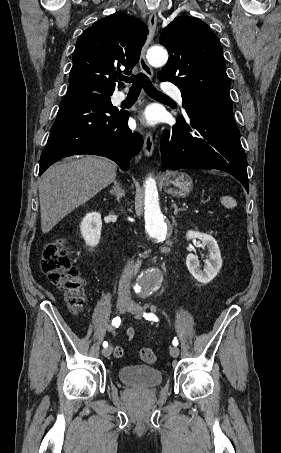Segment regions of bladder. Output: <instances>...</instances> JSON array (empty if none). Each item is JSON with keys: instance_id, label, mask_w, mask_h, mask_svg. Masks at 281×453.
<instances>
[{"instance_id": "31cf9c89", "label": "bladder", "mask_w": 281, "mask_h": 453, "mask_svg": "<svg viewBox=\"0 0 281 453\" xmlns=\"http://www.w3.org/2000/svg\"><path fill=\"white\" fill-rule=\"evenodd\" d=\"M118 378L126 385L141 389L157 387L163 380L161 371L149 366H123L118 370Z\"/></svg>"}]
</instances>
